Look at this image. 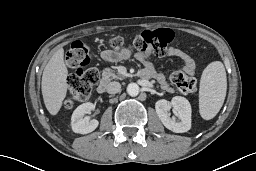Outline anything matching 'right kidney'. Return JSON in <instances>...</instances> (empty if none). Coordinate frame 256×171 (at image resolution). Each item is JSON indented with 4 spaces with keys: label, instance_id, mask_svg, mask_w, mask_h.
Masks as SVG:
<instances>
[{
    "label": "right kidney",
    "instance_id": "obj_1",
    "mask_svg": "<svg viewBox=\"0 0 256 171\" xmlns=\"http://www.w3.org/2000/svg\"><path fill=\"white\" fill-rule=\"evenodd\" d=\"M94 107L95 106L93 105V103L86 102L79 105L74 110L71 117V127L73 132L80 134H88L98 127V120L92 119L91 121H88L84 118V115L87 113H91Z\"/></svg>",
    "mask_w": 256,
    "mask_h": 171
}]
</instances>
